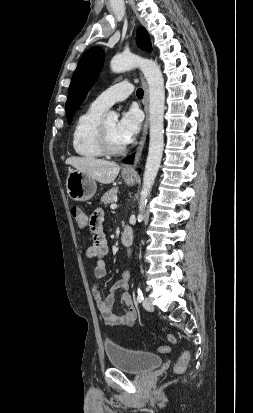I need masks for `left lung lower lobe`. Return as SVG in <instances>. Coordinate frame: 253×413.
<instances>
[{
	"instance_id": "left-lung-lower-lobe-1",
	"label": "left lung lower lobe",
	"mask_w": 253,
	"mask_h": 413,
	"mask_svg": "<svg viewBox=\"0 0 253 413\" xmlns=\"http://www.w3.org/2000/svg\"><path fill=\"white\" fill-rule=\"evenodd\" d=\"M133 158H134V155H130V156H128L127 158H125V159L123 160V162H124V163H132V162H133Z\"/></svg>"
}]
</instances>
